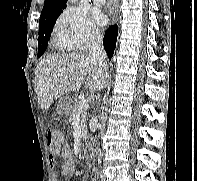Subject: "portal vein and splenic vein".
<instances>
[{"mask_svg":"<svg viewBox=\"0 0 197 181\" xmlns=\"http://www.w3.org/2000/svg\"><path fill=\"white\" fill-rule=\"evenodd\" d=\"M88 107H89L88 101L86 99L82 100V102H81V104L79 105V108H78V113L86 112Z\"/></svg>","mask_w":197,"mask_h":181,"instance_id":"18ae733b","label":"portal vein and splenic vein"}]
</instances>
